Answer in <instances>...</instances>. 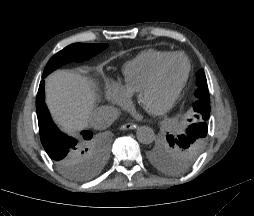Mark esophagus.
Listing matches in <instances>:
<instances>
[{
  "label": "esophagus",
  "instance_id": "34e87169",
  "mask_svg": "<svg viewBox=\"0 0 254 216\" xmlns=\"http://www.w3.org/2000/svg\"><path fill=\"white\" fill-rule=\"evenodd\" d=\"M136 128H137V124H135L133 122L125 123V124L121 125V127H120L121 130H133Z\"/></svg>",
  "mask_w": 254,
  "mask_h": 216
}]
</instances>
